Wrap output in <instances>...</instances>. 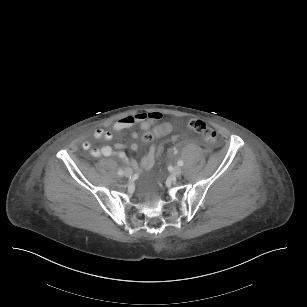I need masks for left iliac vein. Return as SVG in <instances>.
I'll use <instances>...</instances> for the list:
<instances>
[{"label":"left iliac vein","mask_w":307,"mask_h":307,"mask_svg":"<svg viewBox=\"0 0 307 307\" xmlns=\"http://www.w3.org/2000/svg\"><path fill=\"white\" fill-rule=\"evenodd\" d=\"M182 174V169L179 166L174 167L173 169V175L175 177H179Z\"/></svg>","instance_id":"4c4485c4"}]
</instances>
